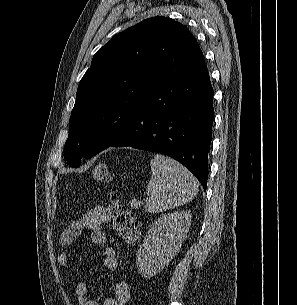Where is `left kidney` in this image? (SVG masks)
<instances>
[{
  "mask_svg": "<svg viewBox=\"0 0 297 305\" xmlns=\"http://www.w3.org/2000/svg\"><path fill=\"white\" fill-rule=\"evenodd\" d=\"M191 212L163 215L151 225L136 256L142 276L150 278L163 270L181 247L191 223Z\"/></svg>",
  "mask_w": 297,
  "mask_h": 305,
  "instance_id": "5707ae66",
  "label": "left kidney"
}]
</instances>
